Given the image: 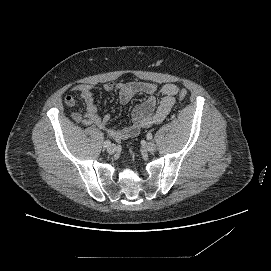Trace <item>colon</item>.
<instances>
[{"mask_svg":"<svg viewBox=\"0 0 271 271\" xmlns=\"http://www.w3.org/2000/svg\"><path fill=\"white\" fill-rule=\"evenodd\" d=\"M187 97V91L185 89H181L178 93V98L183 100Z\"/></svg>","mask_w":271,"mask_h":271,"instance_id":"colon-1","label":"colon"}]
</instances>
